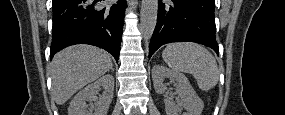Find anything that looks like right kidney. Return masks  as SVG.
Here are the masks:
<instances>
[{
	"label": "right kidney",
	"mask_w": 285,
	"mask_h": 115,
	"mask_svg": "<svg viewBox=\"0 0 285 115\" xmlns=\"http://www.w3.org/2000/svg\"><path fill=\"white\" fill-rule=\"evenodd\" d=\"M101 87L104 88V92L97 98L96 95ZM113 95L114 77L109 74L104 75L74 96L68 109V115H107ZM87 101H96V106L91 107L87 105Z\"/></svg>",
	"instance_id": "obj_1"
}]
</instances>
